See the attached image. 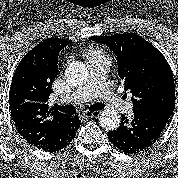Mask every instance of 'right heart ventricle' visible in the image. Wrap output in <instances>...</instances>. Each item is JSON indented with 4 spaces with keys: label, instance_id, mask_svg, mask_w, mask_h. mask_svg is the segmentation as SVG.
Here are the masks:
<instances>
[{
    "label": "right heart ventricle",
    "instance_id": "obj_1",
    "mask_svg": "<svg viewBox=\"0 0 178 178\" xmlns=\"http://www.w3.org/2000/svg\"><path fill=\"white\" fill-rule=\"evenodd\" d=\"M87 57L88 59H90L91 57H104L106 58L100 51L98 50H90L88 53H87Z\"/></svg>",
    "mask_w": 178,
    "mask_h": 178
}]
</instances>
